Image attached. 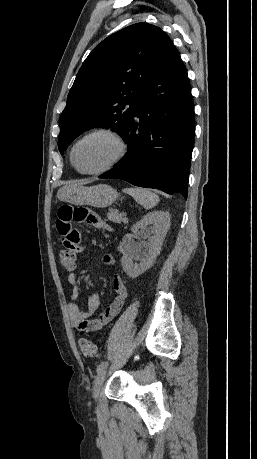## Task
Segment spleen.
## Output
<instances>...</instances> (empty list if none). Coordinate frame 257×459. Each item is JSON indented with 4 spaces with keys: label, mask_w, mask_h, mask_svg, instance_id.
<instances>
[{
    "label": "spleen",
    "mask_w": 257,
    "mask_h": 459,
    "mask_svg": "<svg viewBox=\"0 0 257 459\" xmlns=\"http://www.w3.org/2000/svg\"><path fill=\"white\" fill-rule=\"evenodd\" d=\"M125 192L131 195L137 203L146 209L153 208L159 202L157 194L144 188H127Z\"/></svg>",
    "instance_id": "1"
}]
</instances>
